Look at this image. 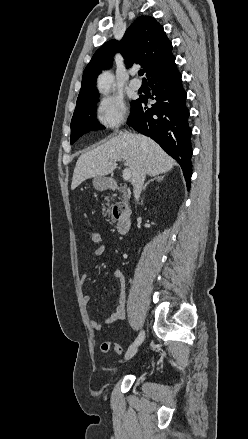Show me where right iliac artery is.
<instances>
[{"instance_id": "82829eb1", "label": "right iliac artery", "mask_w": 248, "mask_h": 439, "mask_svg": "<svg viewBox=\"0 0 248 439\" xmlns=\"http://www.w3.org/2000/svg\"><path fill=\"white\" fill-rule=\"evenodd\" d=\"M145 335H146V329L143 327L139 330V334L137 335V338L135 339L134 345H140L142 342H145ZM137 341V342H136Z\"/></svg>"}]
</instances>
